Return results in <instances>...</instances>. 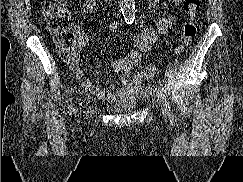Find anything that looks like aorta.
Returning a JSON list of instances; mask_svg holds the SVG:
<instances>
[{"mask_svg":"<svg viewBox=\"0 0 243 182\" xmlns=\"http://www.w3.org/2000/svg\"><path fill=\"white\" fill-rule=\"evenodd\" d=\"M119 7L126 21L135 18V0H118Z\"/></svg>","mask_w":243,"mask_h":182,"instance_id":"aorta-1","label":"aorta"}]
</instances>
